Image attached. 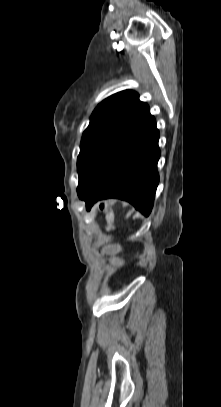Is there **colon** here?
Segmentation results:
<instances>
[{"instance_id":"5ec220e1","label":"colon","mask_w":221,"mask_h":407,"mask_svg":"<svg viewBox=\"0 0 221 407\" xmlns=\"http://www.w3.org/2000/svg\"><path fill=\"white\" fill-rule=\"evenodd\" d=\"M101 208L106 213V220H107L109 228H112L113 219H114L113 213L110 210L105 209L104 206H102ZM121 248H122V245L120 243H117L115 246H113V244L111 242H106L104 244V249L106 251H110V253L112 255H117ZM118 262L120 264H125L127 262V257L125 255H120L118 257Z\"/></svg>"}]
</instances>
